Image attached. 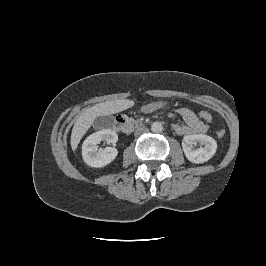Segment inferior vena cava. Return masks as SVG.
Listing matches in <instances>:
<instances>
[{
  "mask_svg": "<svg viewBox=\"0 0 266 266\" xmlns=\"http://www.w3.org/2000/svg\"><path fill=\"white\" fill-rule=\"evenodd\" d=\"M147 131H148L147 128H139V129H137V130L134 132V134H135V136H139V135H141L142 133L147 132Z\"/></svg>",
  "mask_w": 266,
  "mask_h": 266,
  "instance_id": "1",
  "label": "inferior vena cava"
}]
</instances>
